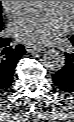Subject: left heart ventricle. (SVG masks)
Here are the masks:
<instances>
[{"label": "left heart ventricle", "instance_id": "obj_1", "mask_svg": "<svg viewBox=\"0 0 74 122\" xmlns=\"http://www.w3.org/2000/svg\"><path fill=\"white\" fill-rule=\"evenodd\" d=\"M47 6L51 7V6H57L61 9V11L63 12L64 16L66 18L71 17V13H70V1H48L47 2Z\"/></svg>", "mask_w": 74, "mask_h": 122}]
</instances>
